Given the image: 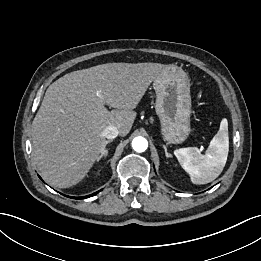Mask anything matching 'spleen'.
<instances>
[{"label":"spleen","instance_id":"spleen-1","mask_svg":"<svg viewBox=\"0 0 261 261\" xmlns=\"http://www.w3.org/2000/svg\"><path fill=\"white\" fill-rule=\"evenodd\" d=\"M228 152V122L223 119L205 154H201L197 147H188L175 150L174 155L194 184H206L221 174Z\"/></svg>","mask_w":261,"mask_h":261}]
</instances>
